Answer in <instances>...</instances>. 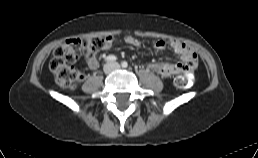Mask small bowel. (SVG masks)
Segmentation results:
<instances>
[{"label": "small bowel", "mask_w": 258, "mask_h": 158, "mask_svg": "<svg viewBox=\"0 0 258 158\" xmlns=\"http://www.w3.org/2000/svg\"><path fill=\"white\" fill-rule=\"evenodd\" d=\"M106 41V49L111 48L114 43L113 37H106ZM125 42L134 47L140 46L139 40L133 36H127L125 38ZM167 46L170 47L175 53L180 55L181 62H155L149 64L148 68L162 77H170L182 73H192L197 65V55L195 54V52L185 43L175 38H168L166 40L158 41L155 43L154 48L156 50H161ZM86 64L89 69L95 70L98 67V60L94 55L87 56Z\"/></svg>", "instance_id": "obj_1"}]
</instances>
